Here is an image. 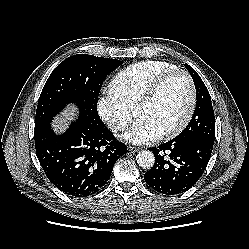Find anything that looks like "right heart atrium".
Listing matches in <instances>:
<instances>
[{
  "mask_svg": "<svg viewBox=\"0 0 249 249\" xmlns=\"http://www.w3.org/2000/svg\"><path fill=\"white\" fill-rule=\"evenodd\" d=\"M99 117L114 131H122L136 115L135 108L125 102L112 89L103 91L97 99Z\"/></svg>",
  "mask_w": 249,
  "mask_h": 249,
  "instance_id": "obj_1",
  "label": "right heart atrium"
}]
</instances>
